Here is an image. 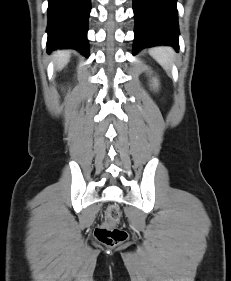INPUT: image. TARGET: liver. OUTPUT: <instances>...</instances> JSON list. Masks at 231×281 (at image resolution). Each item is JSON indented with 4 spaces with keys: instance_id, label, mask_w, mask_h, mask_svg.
Here are the masks:
<instances>
[{
    "instance_id": "liver-1",
    "label": "liver",
    "mask_w": 231,
    "mask_h": 281,
    "mask_svg": "<svg viewBox=\"0 0 231 281\" xmlns=\"http://www.w3.org/2000/svg\"><path fill=\"white\" fill-rule=\"evenodd\" d=\"M53 57L56 61L57 69H62L70 59L69 51H57Z\"/></svg>"
}]
</instances>
